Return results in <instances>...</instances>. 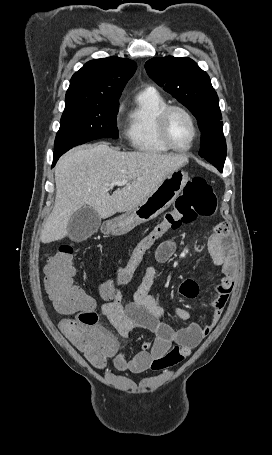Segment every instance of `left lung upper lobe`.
I'll return each mask as SVG.
<instances>
[{
	"instance_id": "1",
	"label": "left lung upper lobe",
	"mask_w": 272,
	"mask_h": 455,
	"mask_svg": "<svg viewBox=\"0 0 272 455\" xmlns=\"http://www.w3.org/2000/svg\"><path fill=\"white\" fill-rule=\"evenodd\" d=\"M147 74L187 107L201 131L200 156H226L222 115L208 74L188 57H155L146 62Z\"/></svg>"
}]
</instances>
